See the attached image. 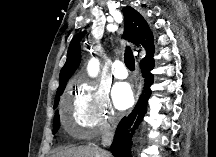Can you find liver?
Returning <instances> with one entry per match:
<instances>
[{
	"label": "liver",
	"mask_w": 216,
	"mask_h": 157,
	"mask_svg": "<svg viewBox=\"0 0 216 157\" xmlns=\"http://www.w3.org/2000/svg\"><path fill=\"white\" fill-rule=\"evenodd\" d=\"M110 155V153L102 149L85 146L62 150L53 157H110Z\"/></svg>",
	"instance_id": "obj_1"
}]
</instances>
